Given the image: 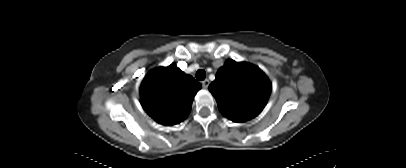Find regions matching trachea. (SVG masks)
I'll use <instances>...</instances> for the list:
<instances>
[{"label":"trachea","mask_w":406,"mask_h":168,"mask_svg":"<svg viewBox=\"0 0 406 168\" xmlns=\"http://www.w3.org/2000/svg\"><path fill=\"white\" fill-rule=\"evenodd\" d=\"M205 77H206V72H205L204 70H198V71L196 72V78H197V80L202 81V80L205 79Z\"/></svg>","instance_id":"1"}]
</instances>
